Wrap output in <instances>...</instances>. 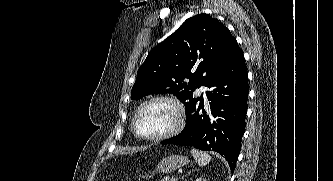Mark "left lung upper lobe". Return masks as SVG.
<instances>
[{
    "label": "left lung upper lobe",
    "mask_w": 333,
    "mask_h": 181,
    "mask_svg": "<svg viewBox=\"0 0 333 181\" xmlns=\"http://www.w3.org/2000/svg\"><path fill=\"white\" fill-rule=\"evenodd\" d=\"M236 39L217 19L199 14L187 19L148 54L139 68L131 99L172 93L186 107H196L195 89L206 85L239 50Z\"/></svg>",
    "instance_id": "5c2ea615"
}]
</instances>
